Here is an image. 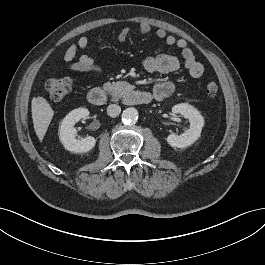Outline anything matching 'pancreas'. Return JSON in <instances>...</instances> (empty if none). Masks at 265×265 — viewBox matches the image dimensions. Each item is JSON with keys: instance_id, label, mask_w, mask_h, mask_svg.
I'll list each match as a JSON object with an SVG mask.
<instances>
[{"instance_id": "1", "label": "pancreas", "mask_w": 265, "mask_h": 265, "mask_svg": "<svg viewBox=\"0 0 265 265\" xmlns=\"http://www.w3.org/2000/svg\"><path fill=\"white\" fill-rule=\"evenodd\" d=\"M127 84L125 82H107L103 85L104 90L112 95V100L118 101L126 91Z\"/></svg>"}]
</instances>
